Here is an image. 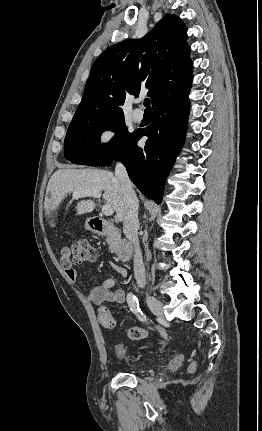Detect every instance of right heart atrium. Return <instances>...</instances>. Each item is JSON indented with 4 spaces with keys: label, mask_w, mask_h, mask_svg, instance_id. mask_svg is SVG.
I'll list each match as a JSON object with an SVG mask.
<instances>
[{
    "label": "right heart atrium",
    "mask_w": 262,
    "mask_h": 431,
    "mask_svg": "<svg viewBox=\"0 0 262 431\" xmlns=\"http://www.w3.org/2000/svg\"><path fill=\"white\" fill-rule=\"evenodd\" d=\"M117 138V130L115 127L111 126V125H107L102 127L96 136V143L97 146L102 148V149H106L111 147Z\"/></svg>",
    "instance_id": "1"
}]
</instances>
